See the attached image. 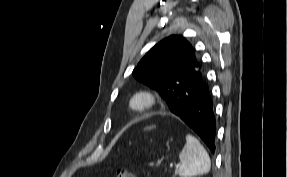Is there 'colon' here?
Returning <instances> with one entry per match:
<instances>
[{
  "mask_svg": "<svg viewBox=\"0 0 287 177\" xmlns=\"http://www.w3.org/2000/svg\"><path fill=\"white\" fill-rule=\"evenodd\" d=\"M115 177H137V176L126 168H118L115 172Z\"/></svg>",
  "mask_w": 287,
  "mask_h": 177,
  "instance_id": "1",
  "label": "colon"
}]
</instances>
